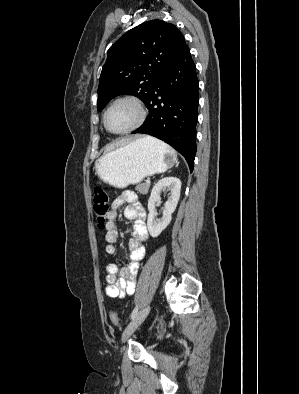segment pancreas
I'll list each match as a JSON object with an SVG mask.
<instances>
[{
    "mask_svg": "<svg viewBox=\"0 0 299 394\" xmlns=\"http://www.w3.org/2000/svg\"><path fill=\"white\" fill-rule=\"evenodd\" d=\"M149 187H150V184L142 183V184L137 185L135 189H136L139 193L145 195V194L148 193Z\"/></svg>",
    "mask_w": 299,
    "mask_h": 394,
    "instance_id": "cf45deb5",
    "label": "pancreas"
}]
</instances>
